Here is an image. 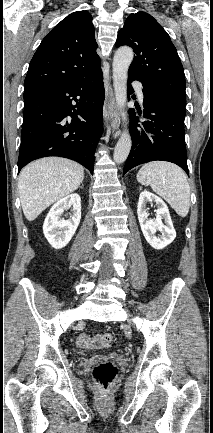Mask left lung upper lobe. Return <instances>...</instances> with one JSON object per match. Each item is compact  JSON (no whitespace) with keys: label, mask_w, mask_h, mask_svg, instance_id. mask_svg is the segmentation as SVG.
I'll list each match as a JSON object with an SVG mask.
<instances>
[{"label":"left lung upper lobe","mask_w":213,"mask_h":433,"mask_svg":"<svg viewBox=\"0 0 213 433\" xmlns=\"http://www.w3.org/2000/svg\"><path fill=\"white\" fill-rule=\"evenodd\" d=\"M115 45L133 48L135 55L128 73L148 92L185 107L183 66L169 35L151 15L130 14Z\"/></svg>","instance_id":"obj_1"}]
</instances>
